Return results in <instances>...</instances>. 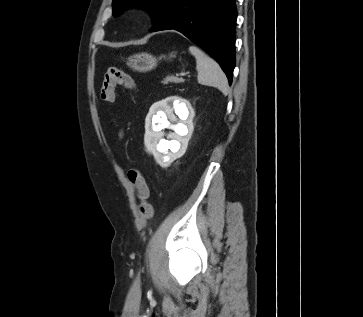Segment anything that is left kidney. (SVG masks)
Segmentation results:
<instances>
[{
  "label": "left kidney",
  "instance_id": "left-kidney-1",
  "mask_svg": "<svg viewBox=\"0 0 363 317\" xmlns=\"http://www.w3.org/2000/svg\"><path fill=\"white\" fill-rule=\"evenodd\" d=\"M173 105V108H172ZM180 118L177 124V117ZM194 110L189 102L177 96L168 97L154 103L146 118L144 143L149 153L153 154L161 166H168L186 152L193 132ZM164 128L174 131L165 140ZM170 149L171 152H168Z\"/></svg>",
  "mask_w": 363,
  "mask_h": 317
}]
</instances>
